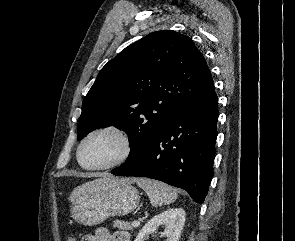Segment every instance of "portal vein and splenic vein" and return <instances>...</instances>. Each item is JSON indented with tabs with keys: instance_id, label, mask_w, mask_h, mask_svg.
Returning a JSON list of instances; mask_svg holds the SVG:
<instances>
[{
	"instance_id": "obj_1",
	"label": "portal vein and splenic vein",
	"mask_w": 295,
	"mask_h": 241,
	"mask_svg": "<svg viewBox=\"0 0 295 241\" xmlns=\"http://www.w3.org/2000/svg\"><path fill=\"white\" fill-rule=\"evenodd\" d=\"M139 225H140V222L137 221V220H135V221L132 222V226L133 227H138Z\"/></svg>"
}]
</instances>
